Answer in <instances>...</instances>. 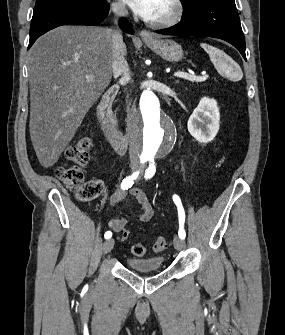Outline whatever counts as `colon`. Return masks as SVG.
Returning a JSON list of instances; mask_svg holds the SVG:
<instances>
[{
    "mask_svg": "<svg viewBox=\"0 0 285 335\" xmlns=\"http://www.w3.org/2000/svg\"><path fill=\"white\" fill-rule=\"evenodd\" d=\"M91 140L87 137L79 139L74 145L66 151L68 163L57 169L58 178L76 194V197L82 202H90L101 195L103 192V183L97 179L87 180L84 177L83 167L90 158ZM130 237V231L124 230L121 240L127 241ZM168 246L165 237L159 236L153 243V251L161 252ZM131 252L135 256H143L146 248L142 244H134Z\"/></svg>",
    "mask_w": 285,
    "mask_h": 335,
    "instance_id": "1",
    "label": "colon"
}]
</instances>
